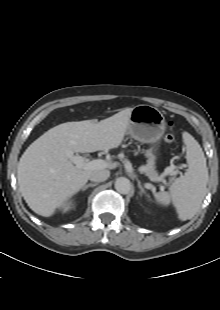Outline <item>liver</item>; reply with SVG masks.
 Returning <instances> with one entry per match:
<instances>
[{"mask_svg": "<svg viewBox=\"0 0 220 310\" xmlns=\"http://www.w3.org/2000/svg\"><path fill=\"white\" fill-rule=\"evenodd\" d=\"M132 108L97 122L84 120L57 125L36 139L21 156L17 180L21 195L36 214L50 217L76 194L95 171L74 166L68 153L117 148L129 125ZM110 169L116 164H110Z\"/></svg>", "mask_w": 220, "mask_h": 310, "instance_id": "6515ba94", "label": "liver"}]
</instances>
